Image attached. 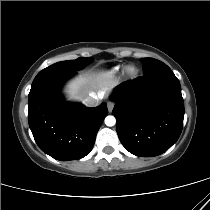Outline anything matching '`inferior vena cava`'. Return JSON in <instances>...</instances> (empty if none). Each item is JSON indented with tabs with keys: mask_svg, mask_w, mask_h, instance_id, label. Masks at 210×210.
Wrapping results in <instances>:
<instances>
[{
	"mask_svg": "<svg viewBox=\"0 0 210 210\" xmlns=\"http://www.w3.org/2000/svg\"><path fill=\"white\" fill-rule=\"evenodd\" d=\"M83 102L86 106L93 107L98 104V99L95 96H88L83 100Z\"/></svg>",
	"mask_w": 210,
	"mask_h": 210,
	"instance_id": "inferior-vena-cava-1",
	"label": "inferior vena cava"
}]
</instances>
